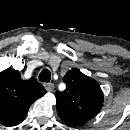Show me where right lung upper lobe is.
Segmentation results:
<instances>
[{"instance_id": "cb5924a9", "label": "right lung upper lobe", "mask_w": 130, "mask_h": 130, "mask_svg": "<svg viewBox=\"0 0 130 130\" xmlns=\"http://www.w3.org/2000/svg\"><path fill=\"white\" fill-rule=\"evenodd\" d=\"M45 93L34 77L22 80L19 71L10 68L0 72V123L7 127L20 124L30 105Z\"/></svg>"}]
</instances>
